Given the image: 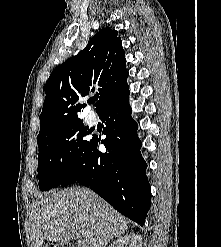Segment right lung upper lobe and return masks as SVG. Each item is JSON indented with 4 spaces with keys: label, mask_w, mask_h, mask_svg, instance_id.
Instances as JSON below:
<instances>
[{
    "label": "right lung upper lobe",
    "mask_w": 221,
    "mask_h": 247,
    "mask_svg": "<svg viewBox=\"0 0 221 247\" xmlns=\"http://www.w3.org/2000/svg\"><path fill=\"white\" fill-rule=\"evenodd\" d=\"M125 52L114 29H101L77 55L59 65L45 85V101L40 115L38 137L58 128L82 121L86 107L82 98L96 91V111L128 92ZM37 137V138H38Z\"/></svg>",
    "instance_id": "right-lung-upper-lobe-1"
}]
</instances>
